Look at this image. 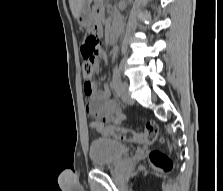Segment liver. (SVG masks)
Instances as JSON below:
<instances>
[{
	"label": "liver",
	"mask_w": 223,
	"mask_h": 191,
	"mask_svg": "<svg viewBox=\"0 0 223 191\" xmlns=\"http://www.w3.org/2000/svg\"><path fill=\"white\" fill-rule=\"evenodd\" d=\"M85 1L86 0H69L70 9L74 18H78Z\"/></svg>",
	"instance_id": "1"
}]
</instances>
